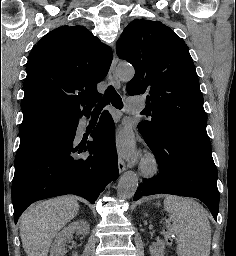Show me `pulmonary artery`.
Segmentation results:
<instances>
[{
	"instance_id": "e3ab8cb5",
	"label": "pulmonary artery",
	"mask_w": 236,
	"mask_h": 256,
	"mask_svg": "<svg viewBox=\"0 0 236 256\" xmlns=\"http://www.w3.org/2000/svg\"><path fill=\"white\" fill-rule=\"evenodd\" d=\"M128 109H142V96H128Z\"/></svg>"
}]
</instances>
